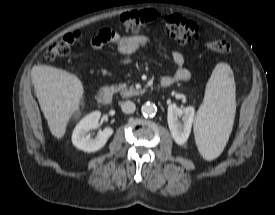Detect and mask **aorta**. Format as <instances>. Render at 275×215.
<instances>
[{"label": "aorta", "mask_w": 275, "mask_h": 215, "mask_svg": "<svg viewBox=\"0 0 275 215\" xmlns=\"http://www.w3.org/2000/svg\"><path fill=\"white\" fill-rule=\"evenodd\" d=\"M141 112L144 117H154L157 113V107L153 103H145L141 107Z\"/></svg>", "instance_id": "obj_1"}]
</instances>
